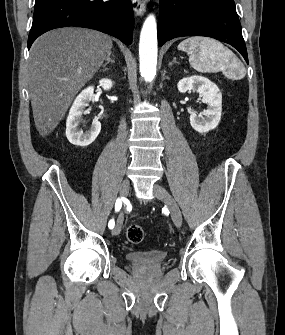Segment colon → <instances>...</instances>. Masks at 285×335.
<instances>
[{
    "instance_id": "obj_1",
    "label": "colon",
    "mask_w": 285,
    "mask_h": 335,
    "mask_svg": "<svg viewBox=\"0 0 285 335\" xmlns=\"http://www.w3.org/2000/svg\"><path fill=\"white\" fill-rule=\"evenodd\" d=\"M126 238L130 243H140L144 238L143 228L138 224H130L126 228Z\"/></svg>"
}]
</instances>
